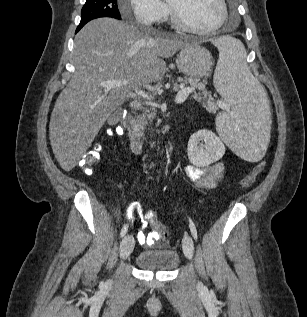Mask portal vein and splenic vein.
Instances as JSON below:
<instances>
[{"label": "portal vein and splenic vein", "instance_id": "1", "mask_svg": "<svg viewBox=\"0 0 307 317\" xmlns=\"http://www.w3.org/2000/svg\"><path fill=\"white\" fill-rule=\"evenodd\" d=\"M127 81L124 80H110V81H103L100 83V86L106 90H111L113 88H118V87H122V86H126L127 85ZM181 89L178 91L176 97H175V102L180 104L183 103L189 94H191L195 89L194 88H190V87H184V86H180ZM135 93L139 96H141L144 99L147 100H151L152 96L148 95L147 93H145L142 90H136ZM222 102H219V105H221Z\"/></svg>", "mask_w": 307, "mask_h": 317}]
</instances>
